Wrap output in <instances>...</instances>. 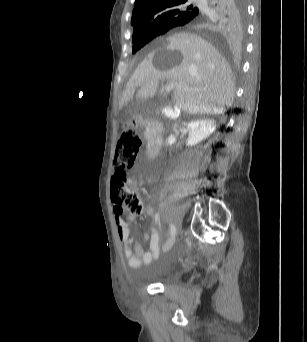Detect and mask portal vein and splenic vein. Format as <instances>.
Listing matches in <instances>:
<instances>
[{"label": "portal vein and splenic vein", "instance_id": "1", "mask_svg": "<svg viewBox=\"0 0 307 342\" xmlns=\"http://www.w3.org/2000/svg\"><path fill=\"white\" fill-rule=\"evenodd\" d=\"M166 84H167V81L163 80L162 84L158 85L159 89H163L164 88L163 90H164L165 93H170L171 90H172L171 88H175V86H176V84H174V82H171V84H169V86H165L164 87V85H166Z\"/></svg>", "mask_w": 307, "mask_h": 342}]
</instances>
